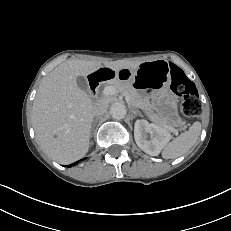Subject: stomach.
<instances>
[{
	"instance_id": "1",
	"label": "stomach",
	"mask_w": 231,
	"mask_h": 231,
	"mask_svg": "<svg viewBox=\"0 0 231 231\" xmlns=\"http://www.w3.org/2000/svg\"><path fill=\"white\" fill-rule=\"evenodd\" d=\"M129 71L128 79L136 90L152 99V106L164 125L180 128L176 95L170 90V66L165 60L146 61Z\"/></svg>"
}]
</instances>
